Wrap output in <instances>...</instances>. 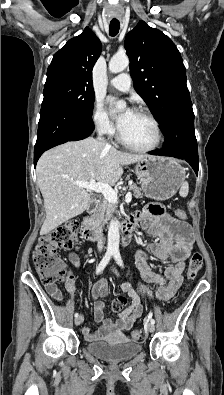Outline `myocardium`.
<instances>
[{"mask_svg":"<svg viewBox=\"0 0 224 395\" xmlns=\"http://www.w3.org/2000/svg\"><path fill=\"white\" fill-rule=\"evenodd\" d=\"M134 112L143 115L153 124V126L155 128V133H156L155 141L150 146H145V147L133 145L124 139V137L122 136V134L120 132V129L118 130V133H117L118 141L127 149H130V150L136 151V152L146 153V152H151V151L156 150L160 146V144L162 142V138H163L162 129H161L159 121L156 119V117L150 111H148L144 108H136L134 110Z\"/></svg>","mask_w":224,"mask_h":395,"instance_id":"1","label":"myocardium"}]
</instances>
